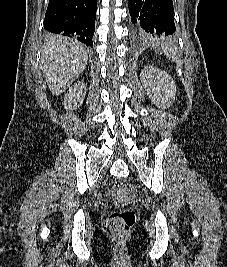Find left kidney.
<instances>
[{"label": "left kidney", "mask_w": 227, "mask_h": 267, "mask_svg": "<svg viewBox=\"0 0 227 267\" xmlns=\"http://www.w3.org/2000/svg\"><path fill=\"white\" fill-rule=\"evenodd\" d=\"M140 80L148 96L158 107L166 108L174 102L176 85L167 72L146 66L140 73Z\"/></svg>", "instance_id": "5707ae66"}]
</instances>
